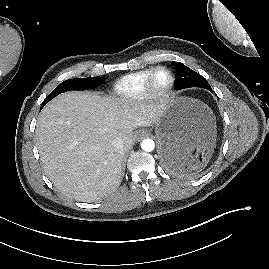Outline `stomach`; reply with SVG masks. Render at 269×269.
Segmentation results:
<instances>
[{
	"label": "stomach",
	"mask_w": 269,
	"mask_h": 269,
	"mask_svg": "<svg viewBox=\"0 0 269 269\" xmlns=\"http://www.w3.org/2000/svg\"><path fill=\"white\" fill-rule=\"evenodd\" d=\"M155 132L161 159L165 145L179 148V169L197 168L206 163L216 146V122L212 110L189 97H170L162 103Z\"/></svg>",
	"instance_id": "1"
}]
</instances>
